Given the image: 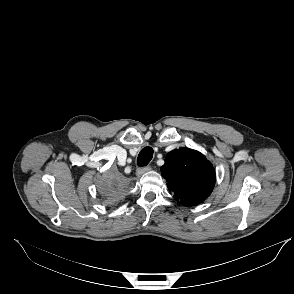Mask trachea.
Instances as JSON below:
<instances>
[{
	"instance_id": "trachea-1",
	"label": "trachea",
	"mask_w": 294,
	"mask_h": 294,
	"mask_svg": "<svg viewBox=\"0 0 294 294\" xmlns=\"http://www.w3.org/2000/svg\"><path fill=\"white\" fill-rule=\"evenodd\" d=\"M153 157V149L151 147H145L141 150L137 158V165L139 167L146 166Z\"/></svg>"
}]
</instances>
